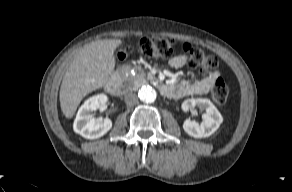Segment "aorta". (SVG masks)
<instances>
[{
	"mask_svg": "<svg viewBox=\"0 0 292 192\" xmlns=\"http://www.w3.org/2000/svg\"><path fill=\"white\" fill-rule=\"evenodd\" d=\"M138 97L144 103H152L156 100L157 93L155 89L149 85L142 86L138 91Z\"/></svg>",
	"mask_w": 292,
	"mask_h": 192,
	"instance_id": "obj_1",
	"label": "aorta"
}]
</instances>
